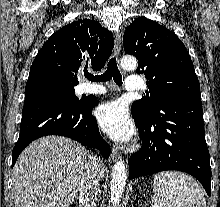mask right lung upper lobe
I'll return each mask as SVG.
<instances>
[{
    "label": "right lung upper lobe",
    "mask_w": 220,
    "mask_h": 207,
    "mask_svg": "<svg viewBox=\"0 0 220 207\" xmlns=\"http://www.w3.org/2000/svg\"><path fill=\"white\" fill-rule=\"evenodd\" d=\"M114 38L98 21H74L55 32L38 51L27 82L56 79L77 85L82 62L101 70L112 53Z\"/></svg>",
    "instance_id": "cb5924a9"
}]
</instances>
